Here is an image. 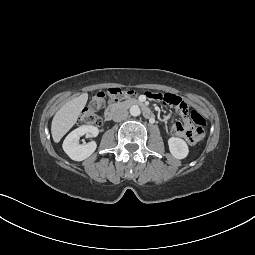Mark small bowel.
Returning a JSON list of instances; mask_svg holds the SVG:
<instances>
[{
  "mask_svg": "<svg viewBox=\"0 0 255 255\" xmlns=\"http://www.w3.org/2000/svg\"><path fill=\"white\" fill-rule=\"evenodd\" d=\"M170 95L175 96V97H177L180 100V105H178L176 107L180 112H182L184 110H188V104L184 100H182L180 97H178V96H176L174 94H170ZM179 124H180L179 122L172 124L171 130L174 131L176 126L179 125Z\"/></svg>",
  "mask_w": 255,
  "mask_h": 255,
  "instance_id": "small-bowel-1",
  "label": "small bowel"
}]
</instances>
